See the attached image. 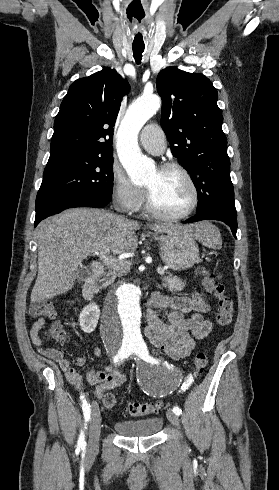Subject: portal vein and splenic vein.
Here are the masks:
<instances>
[{
    "mask_svg": "<svg viewBox=\"0 0 279 490\" xmlns=\"http://www.w3.org/2000/svg\"><path fill=\"white\" fill-rule=\"evenodd\" d=\"M96 256H99L100 260H103L107 268H117L118 264H122V266L126 264V262H123L125 258L123 254L119 256L118 260L116 258H108V256H105V252H96ZM157 272L158 274H165V268H157Z\"/></svg>",
    "mask_w": 279,
    "mask_h": 490,
    "instance_id": "portal-vein-and-splenic-vein-1",
    "label": "portal vein and splenic vein"
}]
</instances>
